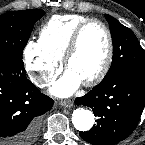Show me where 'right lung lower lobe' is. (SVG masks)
<instances>
[{
    "mask_svg": "<svg viewBox=\"0 0 145 145\" xmlns=\"http://www.w3.org/2000/svg\"><path fill=\"white\" fill-rule=\"evenodd\" d=\"M53 100L27 78L22 58L0 59V145H32Z\"/></svg>",
    "mask_w": 145,
    "mask_h": 145,
    "instance_id": "1",
    "label": "right lung lower lobe"
}]
</instances>
